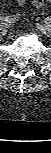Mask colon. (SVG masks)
I'll return each instance as SVG.
<instances>
[{
  "mask_svg": "<svg viewBox=\"0 0 51 153\" xmlns=\"http://www.w3.org/2000/svg\"><path fill=\"white\" fill-rule=\"evenodd\" d=\"M37 2V5L41 4V0H35Z\"/></svg>",
  "mask_w": 51,
  "mask_h": 153,
  "instance_id": "1",
  "label": "colon"
}]
</instances>
